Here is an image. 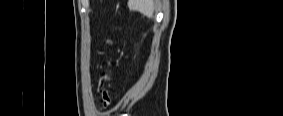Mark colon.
Instances as JSON below:
<instances>
[{"label":"colon","mask_w":283,"mask_h":116,"mask_svg":"<svg viewBox=\"0 0 283 116\" xmlns=\"http://www.w3.org/2000/svg\"><path fill=\"white\" fill-rule=\"evenodd\" d=\"M108 100H105L104 102L107 103Z\"/></svg>","instance_id":"colon-1"}]
</instances>
